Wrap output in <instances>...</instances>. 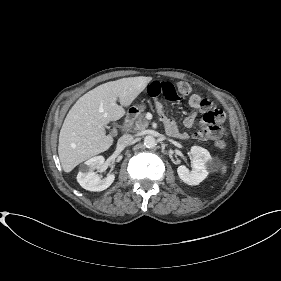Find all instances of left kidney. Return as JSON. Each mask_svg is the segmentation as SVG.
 <instances>
[{"instance_id": "obj_1", "label": "left kidney", "mask_w": 281, "mask_h": 281, "mask_svg": "<svg viewBox=\"0 0 281 281\" xmlns=\"http://www.w3.org/2000/svg\"><path fill=\"white\" fill-rule=\"evenodd\" d=\"M190 153L192 155V166L193 170L181 165L177 168V173L180 179L188 185H198L202 182L209 173V166L211 163L210 153L199 146L191 147Z\"/></svg>"}]
</instances>
